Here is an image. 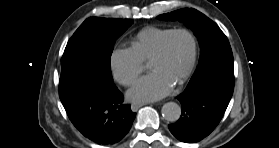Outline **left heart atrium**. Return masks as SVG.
Masks as SVG:
<instances>
[{"label":"left heart atrium","mask_w":279,"mask_h":148,"mask_svg":"<svg viewBox=\"0 0 279 148\" xmlns=\"http://www.w3.org/2000/svg\"><path fill=\"white\" fill-rule=\"evenodd\" d=\"M172 89L173 83L168 79L150 73L135 83L127 97L132 101H155L169 95Z\"/></svg>","instance_id":"left-heart-atrium-1"}]
</instances>
